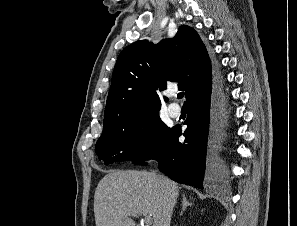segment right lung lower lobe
Returning a JSON list of instances; mask_svg holds the SVG:
<instances>
[{
  "instance_id": "1",
  "label": "right lung lower lobe",
  "mask_w": 297,
  "mask_h": 226,
  "mask_svg": "<svg viewBox=\"0 0 297 226\" xmlns=\"http://www.w3.org/2000/svg\"><path fill=\"white\" fill-rule=\"evenodd\" d=\"M187 104L185 124L188 127L183 134L184 143L178 141L182 134L181 127L175 126L148 156L134 163L157 160L159 169L172 180L203 189L204 177L212 183H218L227 176L226 167L214 153V146L220 141L227 119L216 75L213 86L211 83L203 91L193 94Z\"/></svg>"
}]
</instances>
